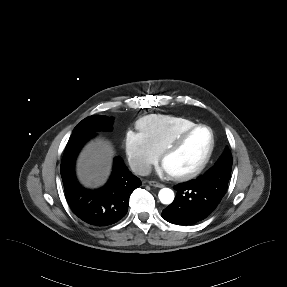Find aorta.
Listing matches in <instances>:
<instances>
[{"instance_id":"762f6f07","label":"aorta","mask_w":287,"mask_h":287,"mask_svg":"<svg viewBox=\"0 0 287 287\" xmlns=\"http://www.w3.org/2000/svg\"><path fill=\"white\" fill-rule=\"evenodd\" d=\"M158 197L162 204H171L175 196L170 188H162L158 193Z\"/></svg>"}]
</instances>
